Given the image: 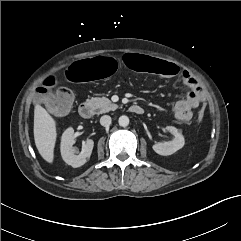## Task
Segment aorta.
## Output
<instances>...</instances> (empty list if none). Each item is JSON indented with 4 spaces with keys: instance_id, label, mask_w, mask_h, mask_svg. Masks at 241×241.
<instances>
[{
    "instance_id": "obj_1",
    "label": "aorta",
    "mask_w": 241,
    "mask_h": 241,
    "mask_svg": "<svg viewBox=\"0 0 241 241\" xmlns=\"http://www.w3.org/2000/svg\"><path fill=\"white\" fill-rule=\"evenodd\" d=\"M119 125L122 126V127H126L129 125V118L125 115H122L119 117Z\"/></svg>"
}]
</instances>
